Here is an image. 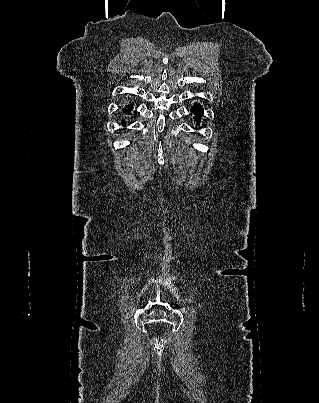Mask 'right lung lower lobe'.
I'll list each match as a JSON object with an SVG mask.
<instances>
[{"label":"right lung lower lobe","instance_id":"1","mask_svg":"<svg viewBox=\"0 0 319 403\" xmlns=\"http://www.w3.org/2000/svg\"><path fill=\"white\" fill-rule=\"evenodd\" d=\"M133 110V106L132 105H126L123 109V113L125 115H129L131 113V111ZM121 124L124 126L125 121H122Z\"/></svg>","mask_w":319,"mask_h":403}]
</instances>
